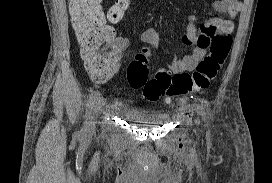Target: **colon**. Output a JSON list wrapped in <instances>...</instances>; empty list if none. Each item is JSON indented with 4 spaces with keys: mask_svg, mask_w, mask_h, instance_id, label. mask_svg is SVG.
Wrapping results in <instances>:
<instances>
[{
    "mask_svg": "<svg viewBox=\"0 0 272 183\" xmlns=\"http://www.w3.org/2000/svg\"><path fill=\"white\" fill-rule=\"evenodd\" d=\"M102 1L69 0L71 23L81 57L90 75L99 80L107 78L119 63V56L112 42L114 33L108 22H120L129 6V0H116L105 15ZM231 43L229 34H213V39L208 41V55L190 73L171 74L168 71H159L151 75L145 55L139 54L128 66V83L132 88L142 90L143 98L150 102L158 101L162 97H180L204 91L225 63Z\"/></svg>",
    "mask_w": 272,
    "mask_h": 183,
    "instance_id": "5ec220e1",
    "label": "colon"
}]
</instances>
